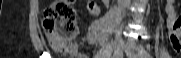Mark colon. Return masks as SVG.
I'll use <instances>...</instances> for the list:
<instances>
[{
    "instance_id": "obj_1",
    "label": "colon",
    "mask_w": 181,
    "mask_h": 58,
    "mask_svg": "<svg viewBox=\"0 0 181 58\" xmlns=\"http://www.w3.org/2000/svg\"><path fill=\"white\" fill-rule=\"evenodd\" d=\"M42 28L51 47L61 54H72L78 35L72 0H56L44 12Z\"/></svg>"
}]
</instances>
